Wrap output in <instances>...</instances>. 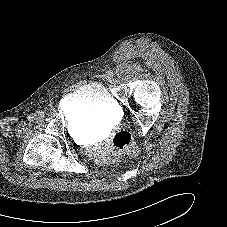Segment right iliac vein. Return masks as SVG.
I'll return each mask as SVG.
<instances>
[{"label": "right iliac vein", "instance_id": "63e3f726", "mask_svg": "<svg viewBox=\"0 0 227 227\" xmlns=\"http://www.w3.org/2000/svg\"><path fill=\"white\" fill-rule=\"evenodd\" d=\"M37 120H42L44 118V114L42 112H38L35 114Z\"/></svg>", "mask_w": 227, "mask_h": 227}]
</instances>
